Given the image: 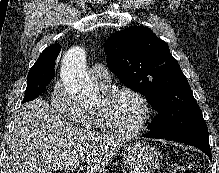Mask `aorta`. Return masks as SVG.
<instances>
[{
    "instance_id": "obj_1",
    "label": "aorta",
    "mask_w": 219,
    "mask_h": 173,
    "mask_svg": "<svg viewBox=\"0 0 219 173\" xmlns=\"http://www.w3.org/2000/svg\"><path fill=\"white\" fill-rule=\"evenodd\" d=\"M61 77L67 92L74 99L83 101L96 96L97 90L86 71L83 48L73 47L68 50L62 61Z\"/></svg>"
}]
</instances>
